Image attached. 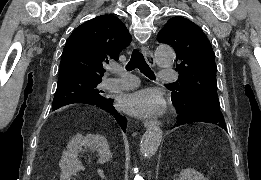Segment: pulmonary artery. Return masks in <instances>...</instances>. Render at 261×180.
<instances>
[{
	"label": "pulmonary artery",
	"instance_id": "pulmonary-artery-1",
	"mask_svg": "<svg viewBox=\"0 0 261 180\" xmlns=\"http://www.w3.org/2000/svg\"><path fill=\"white\" fill-rule=\"evenodd\" d=\"M160 77H179V72H165V67H160ZM111 74L113 75V78H107L104 80L103 85L108 89L113 90H122L129 88L136 82V78L127 73L123 69H111ZM160 83H173V78H160ZM138 86L137 84L135 85Z\"/></svg>",
	"mask_w": 261,
	"mask_h": 180
}]
</instances>
